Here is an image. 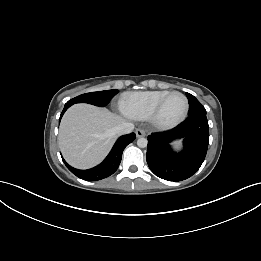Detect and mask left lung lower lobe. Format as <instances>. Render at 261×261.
<instances>
[{
	"mask_svg": "<svg viewBox=\"0 0 261 261\" xmlns=\"http://www.w3.org/2000/svg\"><path fill=\"white\" fill-rule=\"evenodd\" d=\"M184 139V149L176 153L170 143ZM209 143L206 114H193L177 127L148 136L147 163L158 177L168 181H182L195 174L202 165Z\"/></svg>",
	"mask_w": 261,
	"mask_h": 261,
	"instance_id": "1",
	"label": "left lung lower lobe"
}]
</instances>
